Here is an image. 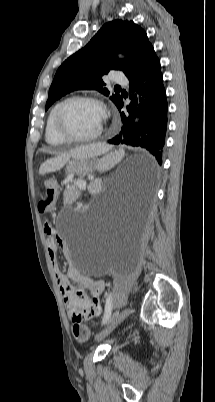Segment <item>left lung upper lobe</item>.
<instances>
[{"instance_id": "5c2ea615", "label": "left lung upper lobe", "mask_w": 215, "mask_h": 402, "mask_svg": "<svg viewBox=\"0 0 215 402\" xmlns=\"http://www.w3.org/2000/svg\"><path fill=\"white\" fill-rule=\"evenodd\" d=\"M117 53L125 54L126 59H118ZM155 57L154 48L139 25L121 19L108 22L85 47L59 67L49 89L45 109L74 90H97L109 96L103 75L110 70H121L129 77ZM110 99L117 105L121 96L114 94Z\"/></svg>"}]
</instances>
